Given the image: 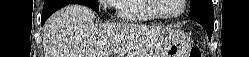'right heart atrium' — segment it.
<instances>
[{"instance_id":"right-heart-atrium-1","label":"right heart atrium","mask_w":249,"mask_h":57,"mask_svg":"<svg viewBox=\"0 0 249 57\" xmlns=\"http://www.w3.org/2000/svg\"><path fill=\"white\" fill-rule=\"evenodd\" d=\"M108 2H111V3H109V5L115 6L116 3L118 2V0H115V1H101V3H103V4H107ZM112 2H114V3H112Z\"/></svg>"}]
</instances>
